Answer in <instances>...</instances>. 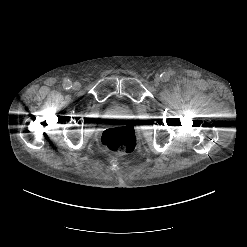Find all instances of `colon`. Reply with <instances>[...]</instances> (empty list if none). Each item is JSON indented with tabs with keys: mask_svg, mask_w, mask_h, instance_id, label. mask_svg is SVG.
<instances>
[{
	"mask_svg": "<svg viewBox=\"0 0 247 247\" xmlns=\"http://www.w3.org/2000/svg\"><path fill=\"white\" fill-rule=\"evenodd\" d=\"M103 147L114 153H129L136 146V133L131 126L106 129L101 135Z\"/></svg>",
	"mask_w": 247,
	"mask_h": 247,
	"instance_id": "colon-1",
	"label": "colon"
}]
</instances>
